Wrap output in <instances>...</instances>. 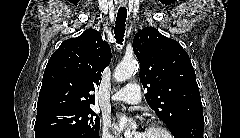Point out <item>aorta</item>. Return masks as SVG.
Listing matches in <instances>:
<instances>
[{
    "label": "aorta",
    "mask_w": 240,
    "mask_h": 138,
    "mask_svg": "<svg viewBox=\"0 0 240 138\" xmlns=\"http://www.w3.org/2000/svg\"><path fill=\"white\" fill-rule=\"evenodd\" d=\"M138 69V62L136 60H123L116 67L114 78L117 82H124L129 79ZM121 121H127L124 116L120 117Z\"/></svg>",
    "instance_id": "aorta-1"
}]
</instances>
